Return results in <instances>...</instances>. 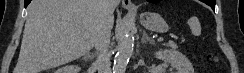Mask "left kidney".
I'll return each instance as SVG.
<instances>
[{
  "instance_id": "obj_1",
  "label": "left kidney",
  "mask_w": 244,
  "mask_h": 73,
  "mask_svg": "<svg viewBox=\"0 0 244 73\" xmlns=\"http://www.w3.org/2000/svg\"><path fill=\"white\" fill-rule=\"evenodd\" d=\"M155 58L169 62L175 73H194V68L189 59L176 50H160L155 53Z\"/></svg>"
}]
</instances>
